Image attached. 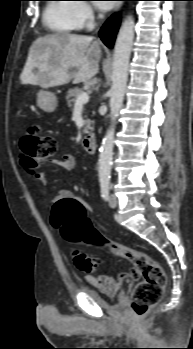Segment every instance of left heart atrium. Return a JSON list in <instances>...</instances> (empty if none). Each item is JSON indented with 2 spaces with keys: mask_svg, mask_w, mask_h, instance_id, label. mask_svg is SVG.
Listing matches in <instances>:
<instances>
[{
  "mask_svg": "<svg viewBox=\"0 0 193 349\" xmlns=\"http://www.w3.org/2000/svg\"><path fill=\"white\" fill-rule=\"evenodd\" d=\"M97 6L101 10H108L112 7V4L109 2H101V3H98Z\"/></svg>",
  "mask_w": 193,
  "mask_h": 349,
  "instance_id": "39dd6f15",
  "label": "left heart atrium"
}]
</instances>
